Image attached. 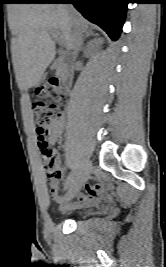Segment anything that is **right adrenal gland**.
<instances>
[{"mask_svg": "<svg viewBox=\"0 0 166 267\" xmlns=\"http://www.w3.org/2000/svg\"><path fill=\"white\" fill-rule=\"evenodd\" d=\"M90 36H91V37H95L96 34H95L92 30L88 29V30L85 31V35H84V38H83V40H82V45H83V43H84V40H85L86 38L90 37Z\"/></svg>", "mask_w": 166, "mask_h": 267, "instance_id": "right-adrenal-gland-1", "label": "right adrenal gland"}]
</instances>
